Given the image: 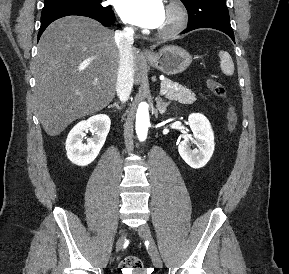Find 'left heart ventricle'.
<instances>
[{
	"label": "left heart ventricle",
	"instance_id": "b2bd125f",
	"mask_svg": "<svg viewBox=\"0 0 289 274\" xmlns=\"http://www.w3.org/2000/svg\"><path fill=\"white\" fill-rule=\"evenodd\" d=\"M172 21H173V14L170 11H168L167 9H165L163 20H162V22L158 28L166 27V26L170 25L172 23Z\"/></svg>",
	"mask_w": 289,
	"mask_h": 274
}]
</instances>
